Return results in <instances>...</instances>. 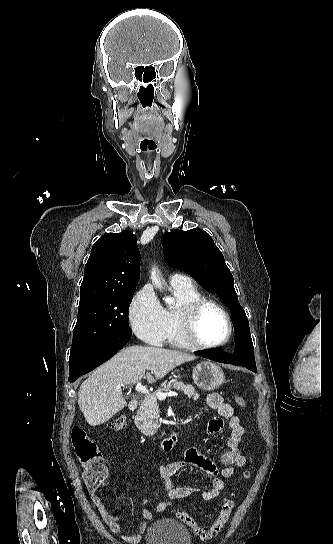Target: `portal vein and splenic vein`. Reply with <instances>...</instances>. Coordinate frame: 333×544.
Wrapping results in <instances>:
<instances>
[{
	"mask_svg": "<svg viewBox=\"0 0 333 544\" xmlns=\"http://www.w3.org/2000/svg\"><path fill=\"white\" fill-rule=\"evenodd\" d=\"M117 388H118V389H121L120 386H117ZM135 390L138 391V392L144 393V394H148V395L150 394L149 391H148V389H147L145 386H143V385L141 384V382H138V383L136 384ZM176 396H178V394H177L176 392H168V393L158 392V393H157V398H158L159 400H164L166 397H176Z\"/></svg>",
	"mask_w": 333,
	"mask_h": 544,
	"instance_id": "18ae733b",
	"label": "portal vein and splenic vein"
}]
</instances>
